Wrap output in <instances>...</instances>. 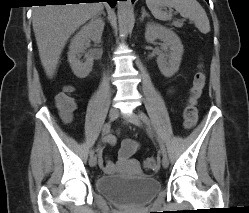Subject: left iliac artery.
<instances>
[{
	"instance_id": "left-iliac-artery-1",
	"label": "left iliac artery",
	"mask_w": 249,
	"mask_h": 213,
	"mask_svg": "<svg viewBox=\"0 0 249 213\" xmlns=\"http://www.w3.org/2000/svg\"><path fill=\"white\" fill-rule=\"evenodd\" d=\"M139 116H140V118L143 120V122L148 126V128H149L150 130H152L151 123H150V120H149V118L147 117V115H146L144 112L140 111V112H139ZM157 140H158V142H159V144H160V148H161V151H162L163 156H166V155H167V153H166V148H165V146H164L162 140H161L159 137H157Z\"/></svg>"
}]
</instances>
